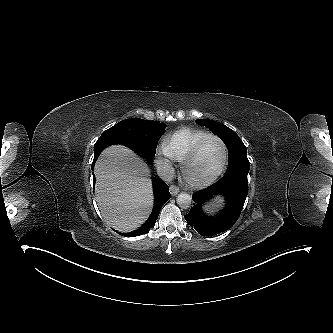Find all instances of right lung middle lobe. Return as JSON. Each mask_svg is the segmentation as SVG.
Here are the masks:
<instances>
[{"mask_svg": "<svg viewBox=\"0 0 333 333\" xmlns=\"http://www.w3.org/2000/svg\"><path fill=\"white\" fill-rule=\"evenodd\" d=\"M166 125L139 118L122 120L108 132L117 133L127 138L143 155L153 159L159 138L165 133Z\"/></svg>", "mask_w": 333, "mask_h": 333, "instance_id": "1", "label": "right lung middle lobe"}]
</instances>
